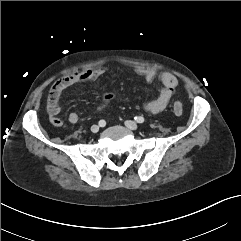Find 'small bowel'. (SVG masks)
<instances>
[{"label": "small bowel", "mask_w": 241, "mask_h": 241, "mask_svg": "<svg viewBox=\"0 0 241 241\" xmlns=\"http://www.w3.org/2000/svg\"><path fill=\"white\" fill-rule=\"evenodd\" d=\"M106 71L104 67L76 71L55 82L50 89L47 100V112L51 124L56 127H60L63 124V121L58 117L60 113L59 98L66 89L79 83L95 81L103 76ZM134 74L144 78L148 83L158 80L162 84L158 96L148 101L144 107L146 111L153 114L163 111L169 104L178 85L176 76L168 72L158 74L153 68L145 67L135 69ZM110 99L108 101L102 100L97 106V110L103 109ZM78 120L79 116L76 112L69 113L68 121L70 123L75 124Z\"/></svg>", "instance_id": "1"}]
</instances>
